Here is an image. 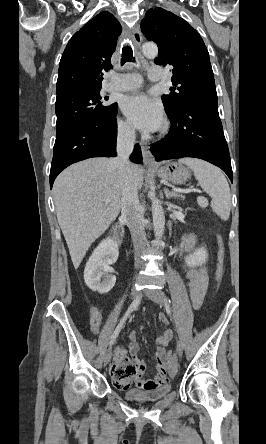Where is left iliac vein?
Instances as JSON below:
<instances>
[{
	"label": "left iliac vein",
	"instance_id": "obj_1",
	"mask_svg": "<svg viewBox=\"0 0 266 444\" xmlns=\"http://www.w3.org/2000/svg\"><path fill=\"white\" fill-rule=\"evenodd\" d=\"M146 295L157 304L166 306V297L162 290L155 289L151 291H146ZM182 353H183V342L181 339H179L176 344V354L178 356H181Z\"/></svg>",
	"mask_w": 266,
	"mask_h": 444
}]
</instances>
